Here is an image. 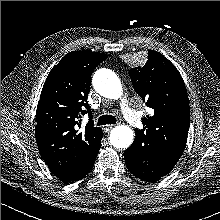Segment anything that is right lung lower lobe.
I'll return each mask as SVG.
<instances>
[{
  "label": "right lung lower lobe",
  "mask_w": 220,
  "mask_h": 220,
  "mask_svg": "<svg viewBox=\"0 0 220 220\" xmlns=\"http://www.w3.org/2000/svg\"><path fill=\"white\" fill-rule=\"evenodd\" d=\"M101 139H102V137H101ZM101 139L99 140V142H98V144H97V146H96V152H95V154H94L92 160L90 161V163L88 164V166L82 171V173L80 174V176L77 177V178H75V179H72V180H70V181H66V182H75V181H78V180L82 179L83 177H85V176L90 172V170L92 169L93 164H94V162H95V160H96L98 150H99L100 147H101Z\"/></svg>",
  "instance_id": "right-lung-lower-lobe-1"
}]
</instances>
